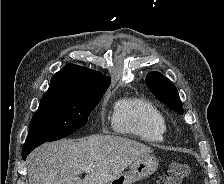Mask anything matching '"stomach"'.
I'll return each mask as SVG.
<instances>
[{
    "label": "stomach",
    "mask_w": 224,
    "mask_h": 184,
    "mask_svg": "<svg viewBox=\"0 0 224 184\" xmlns=\"http://www.w3.org/2000/svg\"><path fill=\"white\" fill-rule=\"evenodd\" d=\"M159 162L155 157L146 156L132 162L129 170L122 173L108 184H132L152 175L158 168Z\"/></svg>",
    "instance_id": "1"
}]
</instances>
